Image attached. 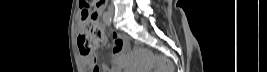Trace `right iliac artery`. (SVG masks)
<instances>
[{"label": "right iliac artery", "mask_w": 267, "mask_h": 72, "mask_svg": "<svg viewBox=\"0 0 267 72\" xmlns=\"http://www.w3.org/2000/svg\"><path fill=\"white\" fill-rule=\"evenodd\" d=\"M103 20H104L106 25H108V26L111 25V17H110L108 12L104 13Z\"/></svg>", "instance_id": "right-iliac-artery-1"}]
</instances>
